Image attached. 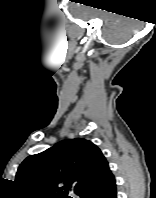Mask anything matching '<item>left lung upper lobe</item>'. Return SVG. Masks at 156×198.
Instances as JSON below:
<instances>
[{"mask_svg": "<svg viewBox=\"0 0 156 198\" xmlns=\"http://www.w3.org/2000/svg\"><path fill=\"white\" fill-rule=\"evenodd\" d=\"M109 171L101 150L91 141L78 138L27 157L15 181L27 198H71L67 196L69 191L81 196Z\"/></svg>", "mask_w": 156, "mask_h": 198, "instance_id": "5c2ea615", "label": "left lung upper lobe"}]
</instances>
